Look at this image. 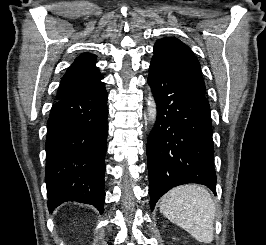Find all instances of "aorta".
Wrapping results in <instances>:
<instances>
[{
	"label": "aorta",
	"mask_w": 266,
	"mask_h": 245,
	"mask_svg": "<svg viewBox=\"0 0 266 245\" xmlns=\"http://www.w3.org/2000/svg\"><path fill=\"white\" fill-rule=\"evenodd\" d=\"M147 114L151 125H154L157 118V106L152 92H149L147 96Z\"/></svg>",
	"instance_id": "762f6f07"
}]
</instances>
